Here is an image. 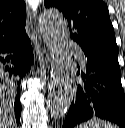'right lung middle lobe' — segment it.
I'll use <instances>...</instances> for the list:
<instances>
[{
	"mask_svg": "<svg viewBox=\"0 0 125 128\" xmlns=\"http://www.w3.org/2000/svg\"><path fill=\"white\" fill-rule=\"evenodd\" d=\"M0 76L3 77L8 83H12L14 78L0 71Z\"/></svg>",
	"mask_w": 125,
	"mask_h": 128,
	"instance_id": "1",
	"label": "right lung middle lobe"
}]
</instances>
